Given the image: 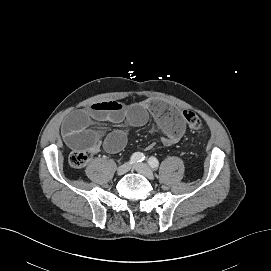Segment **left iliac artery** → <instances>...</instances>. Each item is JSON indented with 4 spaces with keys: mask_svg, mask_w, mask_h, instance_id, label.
Segmentation results:
<instances>
[{
    "mask_svg": "<svg viewBox=\"0 0 271 271\" xmlns=\"http://www.w3.org/2000/svg\"><path fill=\"white\" fill-rule=\"evenodd\" d=\"M148 164L153 169H157L158 166H159V162H158V160L155 157H150L148 159Z\"/></svg>",
    "mask_w": 271,
    "mask_h": 271,
    "instance_id": "left-iliac-artery-1",
    "label": "left iliac artery"
}]
</instances>
